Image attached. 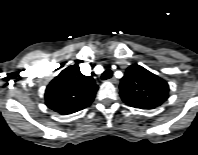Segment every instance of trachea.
<instances>
[{
    "label": "trachea",
    "mask_w": 198,
    "mask_h": 155,
    "mask_svg": "<svg viewBox=\"0 0 198 155\" xmlns=\"http://www.w3.org/2000/svg\"><path fill=\"white\" fill-rule=\"evenodd\" d=\"M111 77H112V71L110 69L105 70L101 76L102 80H107Z\"/></svg>",
    "instance_id": "3493384b"
}]
</instances>
